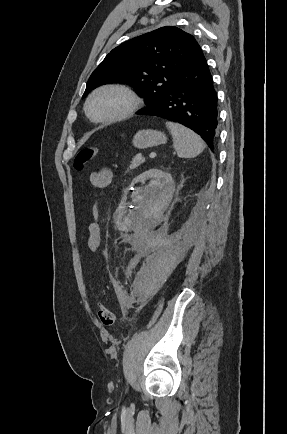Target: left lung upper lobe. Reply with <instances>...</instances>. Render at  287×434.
I'll list each match as a JSON object with an SVG mask.
<instances>
[{"mask_svg": "<svg viewBox=\"0 0 287 434\" xmlns=\"http://www.w3.org/2000/svg\"><path fill=\"white\" fill-rule=\"evenodd\" d=\"M202 56L192 35L173 26L156 29L113 49L91 74L83 97L100 85L120 82L136 86L152 106Z\"/></svg>", "mask_w": 287, "mask_h": 434, "instance_id": "1", "label": "left lung upper lobe"}]
</instances>
